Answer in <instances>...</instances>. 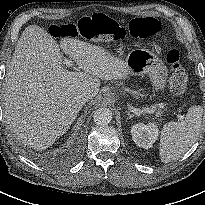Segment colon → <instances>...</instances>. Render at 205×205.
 <instances>
[{"instance_id":"5ec220e1","label":"colon","mask_w":205,"mask_h":205,"mask_svg":"<svg viewBox=\"0 0 205 205\" xmlns=\"http://www.w3.org/2000/svg\"><path fill=\"white\" fill-rule=\"evenodd\" d=\"M129 31L132 37L150 39L161 32L160 22L150 16L137 17L130 21ZM49 33L58 39L82 37L88 41L105 42L119 39L120 29L102 13L84 17L78 24H53ZM180 52L171 48L167 53V62L171 67L170 89L176 95L185 92L188 76L180 61Z\"/></svg>"}]
</instances>
